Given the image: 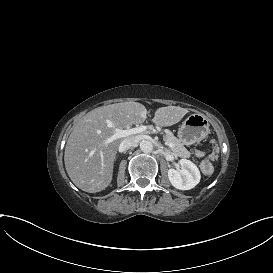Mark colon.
Returning a JSON list of instances; mask_svg holds the SVG:
<instances>
[{
    "label": "colon",
    "mask_w": 273,
    "mask_h": 273,
    "mask_svg": "<svg viewBox=\"0 0 273 273\" xmlns=\"http://www.w3.org/2000/svg\"><path fill=\"white\" fill-rule=\"evenodd\" d=\"M217 156V148H213L212 154H211V158L215 159Z\"/></svg>",
    "instance_id": "colon-1"
}]
</instances>
